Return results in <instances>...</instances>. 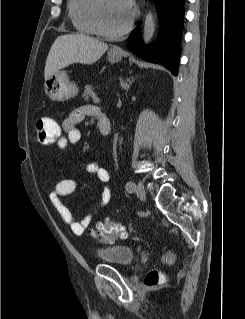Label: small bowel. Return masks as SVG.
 <instances>
[{
  "mask_svg": "<svg viewBox=\"0 0 245 319\" xmlns=\"http://www.w3.org/2000/svg\"><path fill=\"white\" fill-rule=\"evenodd\" d=\"M100 110L91 105H84L74 109L69 116L62 122V136L57 142L59 149L64 150L69 146L76 145L82 140V133L77 127L87 117L99 116ZM89 171L94 174L97 179L104 185L100 200L96 206L83 219L76 221L69 208L61 201V197L67 196L75 192L77 182L74 179H63L56 183L54 189L50 193V201L61 219L70 226L71 231L75 235L85 233L91 222L97 217L111 202L112 192L108 184L110 182L109 172L101 165L94 163L89 167Z\"/></svg>",
  "mask_w": 245,
  "mask_h": 319,
  "instance_id": "small-bowel-1",
  "label": "small bowel"
}]
</instances>
